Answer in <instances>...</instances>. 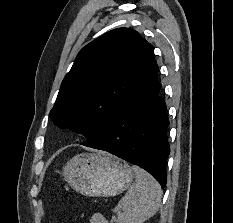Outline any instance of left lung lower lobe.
<instances>
[{"label":"left lung lower lobe","instance_id":"1","mask_svg":"<svg viewBox=\"0 0 233 223\" xmlns=\"http://www.w3.org/2000/svg\"><path fill=\"white\" fill-rule=\"evenodd\" d=\"M155 63L140 86L104 127L83 144L112 153L148 171L165 187L166 159L170 153L166 104L159 97Z\"/></svg>","mask_w":233,"mask_h":223}]
</instances>
